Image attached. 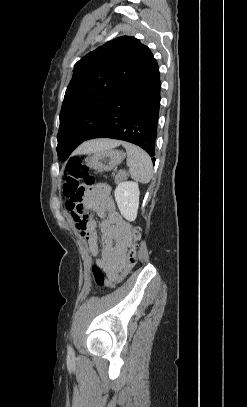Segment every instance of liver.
Listing matches in <instances>:
<instances>
[{
	"label": "liver",
	"mask_w": 247,
	"mask_h": 407,
	"mask_svg": "<svg viewBox=\"0 0 247 407\" xmlns=\"http://www.w3.org/2000/svg\"><path fill=\"white\" fill-rule=\"evenodd\" d=\"M122 142L119 140L98 139L88 141L82 144L76 151L77 154H88L99 150L111 149L119 146Z\"/></svg>",
	"instance_id": "6515ba94"
}]
</instances>
